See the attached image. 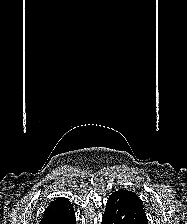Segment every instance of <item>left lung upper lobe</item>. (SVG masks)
I'll list each match as a JSON object with an SVG mask.
<instances>
[{
    "label": "left lung upper lobe",
    "mask_w": 187,
    "mask_h": 224,
    "mask_svg": "<svg viewBox=\"0 0 187 224\" xmlns=\"http://www.w3.org/2000/svg\"><path fill=\"white\" fill-rule=\"evenodd\" d=\"M124 191L128 193L129 195H131L134 198V200L142 207V201L139 199V197L135 193L128 190H124Z\"/></svg>",
    "instance_id": "left-lung-upper-lobe-1"
}]
</instances>
